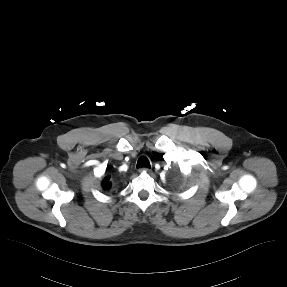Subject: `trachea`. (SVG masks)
Wrapping results in <instances>:
<instances>
[{"mask_svg":"<svg viewBox=\"0 0 287 287\" xmlns=\"http://www.w3.org/2000/svg\"><path fill=\"white\" fill-rule=\"evenodd\" d=\"M142 167H146V168L151 167L149 160L144 156L140 157L137 162V168H142Z\"/></svg>","mask_w":287,"mask_h":287,"instance_id":"3493384b","label":"trachea"}]
</instances>
